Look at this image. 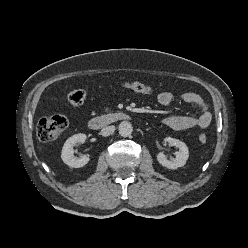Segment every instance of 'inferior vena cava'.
Returning <instances> with one entry per match:
<instances>
[{
	"instance_id": "1",
	"label": "inferior vena cava",
	"mask_w": 248,
	"mask_h": 248,
	"mask_svg": "<svg viewBox=\"0 0 248 248\" xmlns=\"http://www.w3.org/2000/svg\"><path fill=\"white\" fill-rule=\"evenodd\" d=\"M114 131H115V126H113V125L112 126H107V127L103 128L101 130L100 134L102 136L106 137V136H109V135L113 134Z\"/></svg>"
}]
</instances>
